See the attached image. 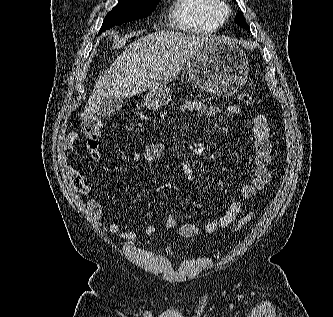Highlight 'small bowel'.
Returning a JSON list of instances; mask_svg holds the SVG:
<instances>
[{
    "mask_svg": "<svg viewBox=\"0 0 333 317\" xmlns=\"http://www.w3.org/2000/svg\"><path fill=\"white\" fill-rule=\"evenodd\" d=\"M181 112H196L199 114L213 116L220 110L217 107L205 104L199 100H188L181 106ZM228 112L232 115H241V109L232 105L228 107ZM252 135H253V149L254 157V173L250 183L241 188V196L243 201H233L228 205L227 211L219 217L214 218L204 227V232L212 234L218 229L227 228L232 222L236 220L238 215L243 211L247 201L252 200L257 195L258 191L263 190L271 181V172L269 166L271 164L272 146L270 142V129L268 120L265 115L257 113L252 119ZM78 139L77 133H70L64 142V151L66 152ZM166 146L163 143H153L143 151H135L131 155V160L135 163L151 164L159 159L165 152ZM100 150L95 149L92 153L93 159L100 158ZM67 176L74 188L80 195L87 196L91 192V186L87 184L80 172L70 162L66 165ZM87 209L97 220L104 219V210L101 204L91 198L87 201ZM164 224L168 229H177L183 237H193L200 231V226L197 222H190L178 224L173 215H168L164 219ZM108 230L110 234L117 235L119 238L130 241L134 240L137 236L133 230L122 231L119 222H112ZM145 232L148 235H153L156 232V227L153 224H148L145 227Z\"/></svg>",
    "mask_w": 333,
    "mask_h": 317,
    "instance_id": "obj_1",
    "label": "small bowel"
}]
</instances>
